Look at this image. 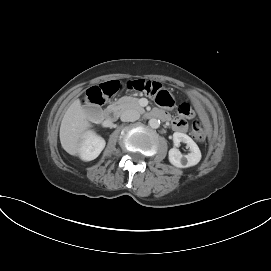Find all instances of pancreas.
<instances>
[{"label":"pancreas","mask_w":271,"mask_h":271,"mask_svg":"<svg viewBox=\"0 0 271 271\" xmlns=\"http://www.w3.org/2000/svg\"><path fill=\"white\" fill-rule=\"evenodd\" d=\"M138 98H134L131 96H124L120 98L117 102L113 103L110 108L119 113L124 112L129 109L137 110L140 113H144L145 110L143 107L139 105Z\"/></svg>","instance_id":"1"}]
</instances>
